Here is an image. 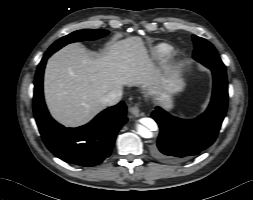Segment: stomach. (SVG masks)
Returning a JSON list of instances; mask_svg holds the SVG:
<instances>
[{"mask_svg":"<svg viewBox=\"0 0 253 200\" xmlns=\"http://www.w3.org/2000/svg\"><path fill=\"white\" fill-rule=\"evenodd\" d=\"M159 80L160 90L157 99L165 109L171 110L174 106L173 96L185 86L184 79L178 69H170L161 73Z\"/></svg>","mask_w":253,"mask_h":200,"instance_id":"obj_1","label":"stomach"}]
</instances>
